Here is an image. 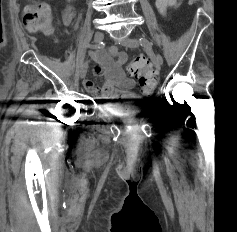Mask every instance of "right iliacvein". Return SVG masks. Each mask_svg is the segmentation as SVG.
Masks as SVG:
<instances>
[{
  "label": "right iliac vein",
  "instance_id": "63e3f726",
  "mask_svg": "<svg viewBox=\"0 0 237 232\" xmlns=\"http://www.w3.org/2000/svg\"><path fill=\"white\" fill-rule=\"evenodd\" d=\"M104 38V35L101 31H97L94 35V41L96 43H99L103 40ZM87 69H88V62H85L81 69H80V72H79V75H80V78L83 79L85 76H86V73H87Z\"/></svg>",
  "mask_w": 237,
  "mask_h": 232
}]
</instances>
